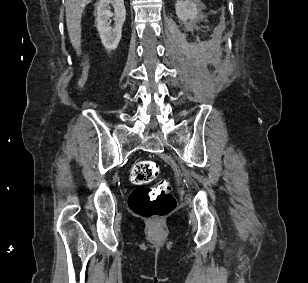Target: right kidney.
<instances>
[{"mask_svg": "<svg viewBox=\"0 0 308 283\" xmlns=\"http://www.w3.org/2000/svg\"><path fill=\"white\" fill-rule=\"evenodd\" d=\"M110 5L114 13L110 11ZM113 17L114 27L110 26L108 20ZM126 17L123 0H99L96 5V23L103 46L109 50H115L122 36V26Z\"/></svg>", "mask_w": 308, "mask_h": 283, "instance_id": "right-kidney-1", "label": "right kidney"}]
</instances>
